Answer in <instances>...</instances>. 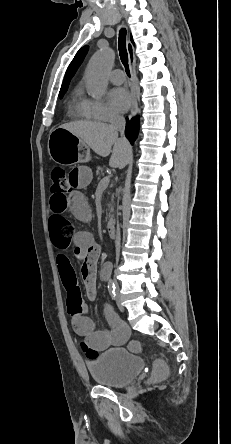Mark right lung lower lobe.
Segmentation results:
<instances>
[{
	"label": "right lung lower lobe",
	"mask_w": 231,
	"mask_h": 444,
	"mask_svg": "<svg viewBox=\"0 0 231 444\" xmlns=\"http://www.w3.org/2000/svg\"><path fill=\"white\" fill-rule=\"evenodd\" d=\"M139 132V118H133L130 122H126V128H125V135L131 142V144L134 143L135 139L137 138Z\"/></svg>",
	"instance_id": "1"
}]
</instances>
